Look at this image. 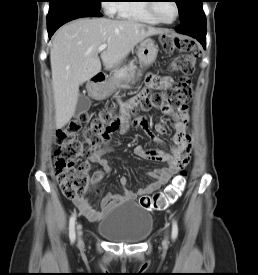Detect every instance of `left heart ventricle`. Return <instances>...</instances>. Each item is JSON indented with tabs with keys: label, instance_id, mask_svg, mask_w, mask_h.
<instances>
[{
	"label": "left heart ventricle",
	"instance_id": "left-heart-ventricle-1",
	"mask_svg": "<svg viewBox=\"0 0 258 275\" xmlns=\"http://www.w3.org/2000/svg\"><path fill=\"white\" fill-rule=\"evenodd\" d=\"M156 12L161 19L171 21L176 15L175 5L172 1H159L156 4Z\"/></svg>",
	"mask_w": 258,
	"mask_h": 275
}]
</instances>
